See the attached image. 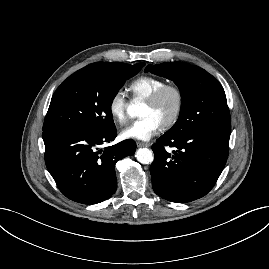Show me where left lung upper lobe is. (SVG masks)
<instances>
[{
	"label": "left lung upper lobe",
	"instance_id": "1",
	"mask_svg": "<svg viewBox=\"0 0 269 269\" xmlns=\"http://www.w3.org/2000/svg\"><path fill=\"white\" fill-rule=\"evenodd\" d=\"M145 71L173 80L181 92L180 116L166 135H184L196 129L231 128L224 89L204 69L182 62H166L148 65Z\"/></svg>",
	"mask_w": 269,
	"mask_h": 269
}]
</instances>
